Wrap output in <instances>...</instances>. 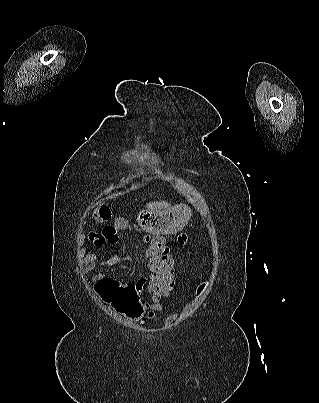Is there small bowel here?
<instances>
[{"mask_svg": "<svg viewBox=\"0 0 319 403\" xmlns=\"http://www.w3.org/2000/svg\"><path fill=\"white\" fill-rule=\"evenodd\" d=\"M126 218L123 214L118 219V223L102 224L101 229H90V245L96 246V249H102L107 254H123L121 238L123 232L127 230ZM190 243L191 236L186 231H179L173 237V244L178 249H185ZM101 258L97 253L86 254L80 262L81 272L88 274L94 271ZM170 259H172L171 256ZM146 282H149V278H140L135 284H126L125 279L105 277L104 274L97 273L92 278V287H96L97 300H100L101 305H106L107 309H116L117 315H129L134 321L144 322L153 320L162 310V304H157L151 296L150 301L144 304L143 300H139V292L146 288Z\"/></svg>", "mask_w": 319, "mask_h": 403, "instance_id": "1", "label": "small bowel"}]
</instances>
